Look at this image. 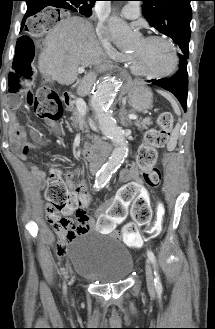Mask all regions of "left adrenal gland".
<instances>
[{"label": "left adrenal gland", "mask_w": 215, "mask_h": 329, "mask_svg": "<svg viewBox=\"0 0 215 329\" xmlns=\"http://www.w3.org/2000/svg\"><path fill=\"white\" fill-rule=\"evenodd\" d=\"M119 116H120L121 124L123 126H128L131 123L130 120L128 119V117H127V111H126V106L125 105H122V107L120 109Z\"/></svg>", "instance_id": "1"}]
</instances>
